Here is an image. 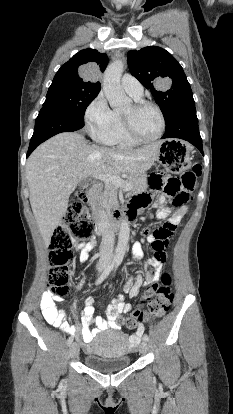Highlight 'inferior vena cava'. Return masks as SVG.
I'll return each instance as SVG.
<instances>
[{"instance_id": "obj_1", "label": "inferior vena cava", "mask_w": 233, "mask_h": 414, "mask_svg": "<svg viewBox=\"0 0 233 414\" xmlns=\"http://www.w3.org/2000/svg\"><path fill=\"white\" fill-rule=\"evenodd\" d=\"M97 214H98V220H97V225L99 227V229L104 230L108 225H109V219H108V215L106 214V212L100 208V210H97ZM102 243L99 246L100 249V253L99 256V263L100 264H108L111 261V257H112V253H113V242H114V238H115V233L113 232L112 229H107L106 232L102 233Z\"/></svg>"}]
</instances>
